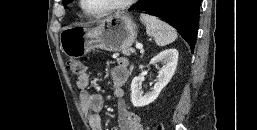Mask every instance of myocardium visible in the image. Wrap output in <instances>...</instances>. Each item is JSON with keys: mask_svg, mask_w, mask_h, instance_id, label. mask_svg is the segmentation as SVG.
I'll use <instances>...</instances> for the list:
<instances>
[{"mask_svg": "<svg viewBox=\"0 0 257 130\" xmlns=\"http://www.w3.org/2000/svg\"><path fill=\"white\" fill-rule=\"evenodd\" d=\"M136 0H121L120 2H118L117 4L109 7L108 9L102 11V12H98V13H92L90 11H88L85 7V4H84V0H80V6L83 10V12L90 16V17H95V18H99V17H104L106 15H109L113 12H116V11H120V10H123V9H126L128 8L129 6H131Z\"/></svg>", "mask_w": 257, "mask_h": 130, "instance_id": "obj_1", "label": "myocardium"}]
</instances>
